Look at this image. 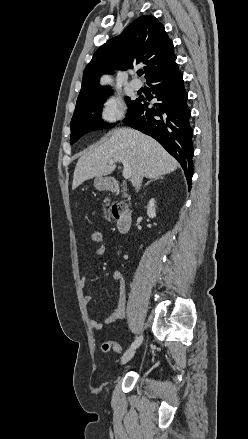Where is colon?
Segmentation results:
<instances>
[{"label":"colon","instance_id":"5ec220e1","mask_svg":"<svg viewBox=\"0 0 248 439\" xmlns=\"http://www.w3.org/2000/svg\"><path fill=\"white\" fill-rule=\"evenodd\" d=\"M90 240L92 241V243L96 244V245H102V241H103V236L102 233L97 230L94 229L90 232ZM101 349L103 352H109L111 350L115 351V352H121V346L116 342V341H106L102 344Z\"/></svg>","mask_w":248,"mask_h":439}]
</instances>
